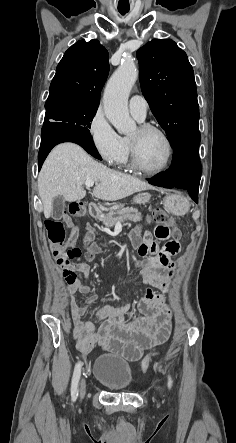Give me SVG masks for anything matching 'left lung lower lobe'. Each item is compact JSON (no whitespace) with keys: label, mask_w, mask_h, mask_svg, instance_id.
Returning a JSON list of instances; mask_svg holds the SVG:
<instances>
[{"label":"left lung lower lobe","mask_w":236,"mask_h":443,"mask_svg":"<svg viewBox=\"0 0 236 443\" xmlns=\"http://www.w3.org/2000/svg\"><path fill=\"white\" fill-rule=\"evenodd\" d=\"M200 133L181 139L174 149L172 165L167 171L154 176L149 183L165 188H183L198 203V189L201 178L199 161Z\"/></svg>","instance_id":"0a47b994"}]
</instances>
